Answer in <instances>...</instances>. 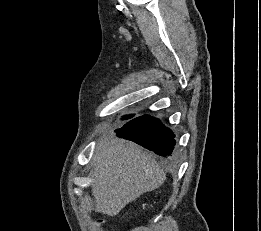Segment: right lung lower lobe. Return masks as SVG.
<instances>
[{
  "label": "right lung lower lobe",
  "instance_id": "right-lung-lower-lobe-1",
  "mask_svg": "<svg viewBox=\"0 0 261 231\" xmlns=\"http://www.w3.org/2000/svg\"><path fill=\"white\" fill-rule=\"evenodd\" d=\"M115 132L118 137L132 140L157 155L167 158L172 156L174 134L159 119L150 115L139 116Z\"/></svg>",
  "mask_w": 261,
  "mask_h": 231
}]
</instances>
